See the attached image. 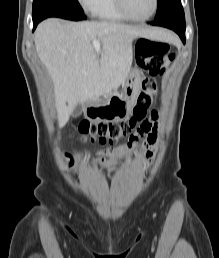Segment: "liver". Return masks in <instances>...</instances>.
<instances>
[{
  "instance_id": "liver-1",
  "label": "liver",
  "mask_w": 219,
  "mask_h": 258,
  "mask_svg": "<svg viewBox=\"0 0 219 258\" xmlns=\"http://www.w3.org/2000/svg\"><path fill=\"white\" fill-rule=\"evenodd\" d=\"M137 37L173 40L170 33L113 22L63 23L51 18L35 31V47L51 76L60 123L74 108L124 85ZM93 41L101 44L96 52Z\"/></svg>"
}]
</instances>
